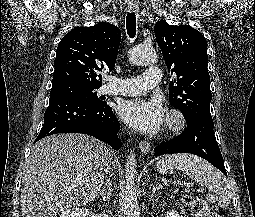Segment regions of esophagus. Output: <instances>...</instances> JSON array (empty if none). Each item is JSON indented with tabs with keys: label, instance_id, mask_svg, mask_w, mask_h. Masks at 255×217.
<instances>
[{
	"label": "esophagus",
	"instance_id": "1",
	"mask_svg": "<svg viewBox=\"0 0 255 217\" xmlns=\"http://www.w3.org/2000/svg\"><path fill=\"white\" fill-rule=\"evenodd\" d=\"M128 11L132 13H138L139 12V6L137 2H129L128 4ZM141 152L144 154H147L150 151L151 145L148 141L143 140L139 144Z\"/></svg>",
	"mask_w": 255,
	"mask_h": 217
}]
</instances>
